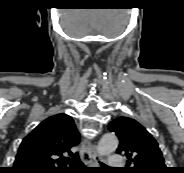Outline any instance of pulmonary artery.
Returning a JSON list of instances; mask_svg holds the SVG:
<instances>
[{"label":"pulmonary artery","mask_w":184,"mask_h":173,"mask_svg":"<svg viewBox=\"0 0 184 173\" xmlns=\"http://www.w3.org/2000/svg\"><path fill=\"white\" fill-rule=\"evenodd\" d=\"M124 164L121 155L113 154L108 158V165L114 168H121Z\"/></svg>","instance_id":"obj_1"}]
</instances>
